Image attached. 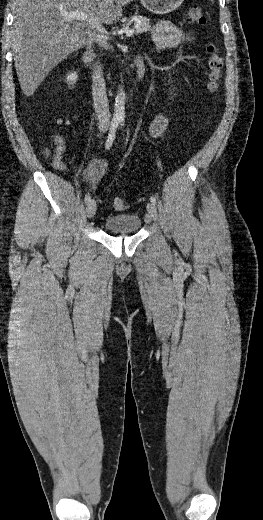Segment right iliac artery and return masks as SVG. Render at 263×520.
<instances>
[{
    "instance_id": "obj_1",
    "label": "right iliac artery",
    "mask_w": 263,
    "mask_h": 520,
    "mask_svg": "<svg viewBox=\"0 0 263 520\" xmlns=\"http://www.w3.org/2000/svg\"><path fill=\"white\" fill-rule=\"evenodd\" d=\"M119 126V121H113L111 123V126H110V130H109V133H108V137H107V140H106V143H105V149L106 150H109L110 147L112 146L113 144V141L115 139V135H116V131H117V128ZM85 203H88L90 201V194H86L85 195Z\"/></svg>"
}]
</instances>
